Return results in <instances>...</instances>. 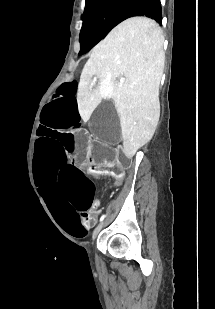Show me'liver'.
Masks as SVG:
<instances>
[{"label": "liver", "mask_w": 215, "mask_h": 309, "mask_svg": "<svg viewBox=\"0 0 215 309\" xmlns=\"http://www.w3.org/2000/svg\"><path fill=\"white\" fill-rule=\"evenodd\" d=\"M163 42L156 20L132 16L117 24L92 48L81 72L77 100L84 122L102 98H113L128 159L149 142L159 120ZM94 74L99 80L97 88L90 86ZM118 76L124 78L123 86H118Z\"/></svg>", "instance_id": "obj_1"}]
</instances>
